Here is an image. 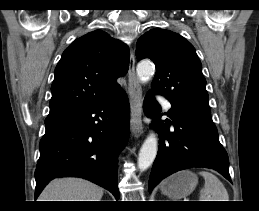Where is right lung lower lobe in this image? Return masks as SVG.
I'll use <instances>...</instances> for the list:
<instances>
[{
    "instance_id": "98d812e1",
    "label": "right lung lower lobe",
    "mask_w": 259,
    "mask_h": 211,
    "mask_svg": "<svg viewBox=\"0 0 259 211\" xmlns=\"http://www.w3.org/2000/svg\"><path fill=\"white\" fill-rule=\"evenodd\" d=\"M129 101L121 91L89 107L48 115L35 170V199L57 177H81L119 199L117 155L128 140Z\"/></svg>"
}]
</instances>
